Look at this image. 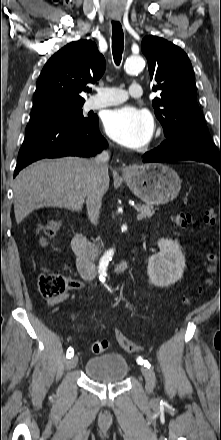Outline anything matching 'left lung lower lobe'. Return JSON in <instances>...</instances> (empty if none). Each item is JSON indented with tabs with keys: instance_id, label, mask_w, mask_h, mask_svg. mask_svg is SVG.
<instances>
[{
	"instance_id": "1",
	"label": "left lung lower lobe",
	"mask_w": 221,
	"mask_h": 440,
	"mask_svg": "<svg viewBox=\"0 0 221 440\" xmlns=\"http://www.w3.org/2000/svg\"><path fill=\"white\" fill-rule=\"evenodd\" d=\"M178 160H195L213 166L221 175V156H214L207 153H186L171 149L165 142L157 148L147 152L143 156V162H164Z\"/></svg>"
}]
</instances>
